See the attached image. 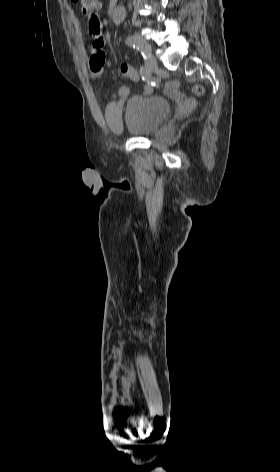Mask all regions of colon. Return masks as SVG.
I'll list each match as a JSON object with an SVG mask.
<instances>
[{
	"mask_svg": "<svg viewBox=\"0 0 280 472\" xmlns=\"http://www.w3.org/2000/svg\"><path fill=\"white\" fill-rule=\"evenodd\" d=\"M74 3L80 6L82 13L88 18L91 22H98V10H99V3L97 0H72ZM120 72L124 76L128 77L132 81H139L140 76L136 70H134L130 65L123 63L120 66ZM148 85L154 87H161L164 91L168 94H173L177 88L178 83L176 82H168L164 84H158L153 81H148ZM191 91L196 96H201L204 92V89L201 85H194L191 87Z\"/></svg>",
	"mask_w": 280,
	"mask_h": 472,
	"instance_id": "1",
	"label": "colon"
}]
</instances>
